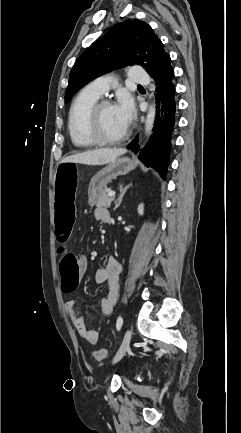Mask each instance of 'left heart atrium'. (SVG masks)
I'll use <instances>...</instances> for the list:
<instances>
[{
  "mask_svg": "<svg viewBox=\"0 0 241 433\" xmlns=\"http://www.w3.org/2000/svg\"><path fill=\"white\" fill-rule=\"evenodd\" d=\"M114 107L124 125L128 127L134 118V106L132 100L127 95H121Z\"/></svg>",
  "mask_w": 241,
  "mask_h": 433,
  "instance_id": "left-heart-atrium-1",
  "label": "left heart atrium"
}]
</instances>
